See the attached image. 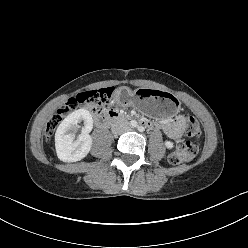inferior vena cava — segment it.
I'll return each instance as SVG.
<instances>
[{"label": "inferior vena cava", "instance_id": "inferior-vena-cava-1", "mask_svg": "<svg viewBox=\"0 0 248 248\" xmlns=\"http://www.w3.org/2000/svg\"><path fill=\"white\" fill-rule=\"evenodd\" d=\"M129 129H130L129 126H125V127L123 128V130H129ZM113 131L115 132V128L113 129Z\"/></svg>", "mask_w": 248, "mask_h": 248}]
</instances>
